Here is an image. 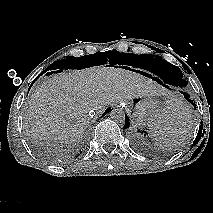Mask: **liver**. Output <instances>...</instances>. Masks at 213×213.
<instances>
[{
  "label": "liver",
  "mask_w": 213,
  "mask_h": 213,
  "mask_svg": "<svg viewBox=\"0 0 213 213\" xmlns=\"http://www.w3.org/2000/svg\"><path fill=\"white\" fill-rule=\"evenodd\" d=\"M167 91L145 76L122 68L91 67L53 75L30 94L25 118L31 137L50 152L76 145L90 123V112L107 105Z\"/></svg>",
  "instance_id": "liver-1"
}]
</instances>
